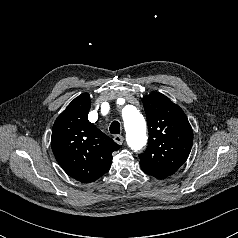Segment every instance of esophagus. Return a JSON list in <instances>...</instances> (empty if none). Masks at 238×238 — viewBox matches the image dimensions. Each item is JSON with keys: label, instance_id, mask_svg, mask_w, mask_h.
I'll list each match as a JSON object with an SVG mask.
<instances>
[{"label": "esophagus", "instance_id": "esophagus-1", "mask_svg": "<svg viewBox=\"0 0 238 238\" xmlns=\"http://www.w3.org/2000/svg\"><path fill=\"white\" fill-rule=\"evenodd\" d=\"M113 140H114L117 144L122 145V143H123V141H124V137L121 136V135H115V136L113 137Z\"/></svg>", "mask_w": 238, "mask_h": 238}]
</instances>
